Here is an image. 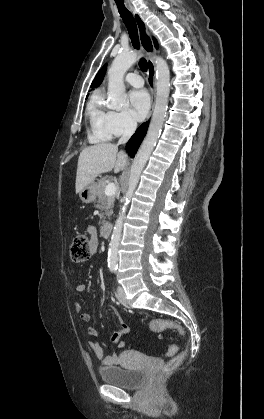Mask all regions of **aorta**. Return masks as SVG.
Wrapping results in <instances>:
<instances>
[{
  "label": "aorta",
  "mask_w": 264,
  "mask_h": 419,
  "mask_svg": "<svg viewBox=\"0 0 264 419\" xmlns=\"http://www.w3.org/2000/svg\"><path fill=\"white\" fill-rule=\"evenodd\" d=\"M137 59L138 54L136 52H129L119 54L112 62V65L108 70L109 107L111 109L119 110L127 104L123 80L124 74ZM155 65L157 79L155 108L147 135L133 160L128 189L123 198L124 204L113 228L108 251V266L110 268L117 267L118 246L121 239L127 207L139 182L141 172L157 143L167 111L170 71L166 61L161 57L155 58Z\"/></svg>",
  "instance_id": "aorta-1"
}]
</instances>
